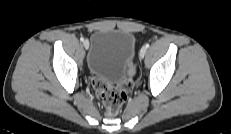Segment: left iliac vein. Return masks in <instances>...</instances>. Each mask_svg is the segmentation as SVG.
Returning a JSON list of instances; mask_svg holds the SVG:
<instances>
[{
	"mask_svg": "<svg viewBox=\"0 0 231 134\" xmlns=\"http://www.w3.org/2000/svg\"><path fill=\"white\" fill-rule=\"evenodd\" d=\"M146 51H147V48L145 46H143L141 49H140V52H139V57L142 59L144 58V56L146 55Z\"/></svg>",
	"mask_w": 231,
	"mask_h": 134,
	"instance_id": "1",
	"label": "left iliac vein"
}]
</instances>
